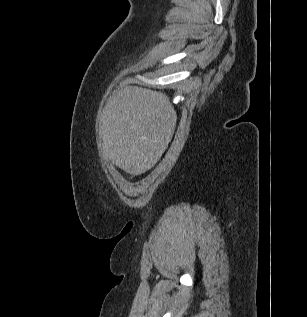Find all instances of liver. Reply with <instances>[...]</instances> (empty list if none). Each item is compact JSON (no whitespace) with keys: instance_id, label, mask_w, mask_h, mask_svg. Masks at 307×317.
Listing matches in <instances>:
<instances>
[{"instance_id":"obj_1","label":"liver","mask_w":307,"mask_h":317,"mask_svg":"<svg viewBox=\"0 0 307 317\" xmlns=\"http://www.w3.org/2000/svg\"><path fill=\"white\" fill-rule=\"evenodd\" d=\"M101 121L105 156L125 172L140 175L165 152L177 114L166 94L126 86L108 99Z\"/></svg>"}]
</instances>
